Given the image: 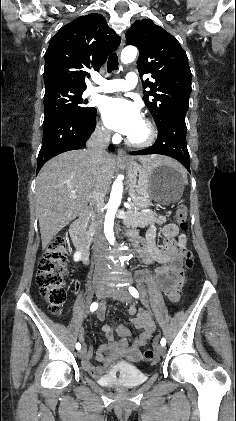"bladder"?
<instances>
[{
    "mask_svg": "<svg viewBox=\"0 0 236 421\" xmlns=\"http://www.w3.org/2000/svg\"><path fill=\"white\" fill-rule=\"evenodd\" d=\"M108 385L110 387L118 386L120 388H130L136 385H140V380L130 378L128 374L123 373L119 376L117 381L109 380Z\"/></svg>",
    "mask_w": 236,
    "mask_h": 421,
    "instance_id": "obj_1",
    "label": "bladder"
}]
</instances>
